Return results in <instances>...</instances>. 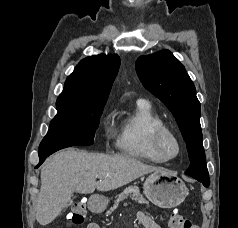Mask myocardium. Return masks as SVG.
Returning <instances> with one entry per match:
<instances>
[{"mask_svg": "<svg viewBox=\"0 0 238 228\" xmlns=\"http://www.w3.org/2000/svg\"><path fill=\"white\" fill-rule=\"evenodd\" d=\"M166 139H169L175 145L176 151L173 155L166 154L164 150V142ZM151 146L153 151L163 160L171 161L179 157L182 152L181 142L176 135V133L166 125H161L157 127L151 138Z\"/></svg>", "mask_w": 238, "mask_h": 228, "instance_id": "myocardium-1", "label": "myocardium"}]
</instances>
